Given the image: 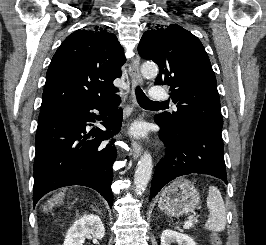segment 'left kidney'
Instances as JSON below:
<instances>
[{"label": "left kidney", "mask_w": 266, "mask_h": 245, "mask_svg": "<svg viewBox=\"0 0 266 245\" xmlns=\"http://www.w3.org/2000/svg\"><path fill=\"white\" fill-rule=\"evenodd\" d=\"M171 243H177V245H196L195 241L188 237V235L166 229L161 235V245H171Z\"/></svg>", "instance_id": "5707ae66"}]
</instances>
